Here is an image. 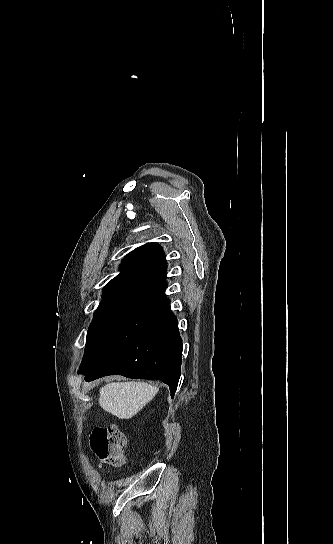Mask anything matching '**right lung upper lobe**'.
Returning a JSON list of instances; mask_svg holds the SVG:
<instances>
[{
  "label": "right lung upper lobe",
  "instance_id": "1",
  "mask_svg": "<svg viewBox=\"0 0 333 544\" xmlns=\"http://www.w3.org/2000/svg\"><path fill=\"white\" fill-rule=\"evenodd\" d=\"M119 269L120 274L103 288L100 304L136 298L170 302L165 295L167 262L159 244L146 243L136 248Z\"/></svg>",
  "mask_w": 333,
  "mask_h": 544
}]
</instances>
